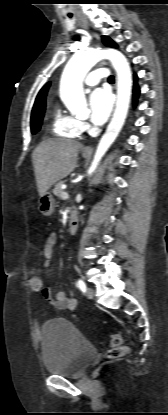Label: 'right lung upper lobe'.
<instances>
[{
    "mask_svg": "<svg viewBox=\"0 0 168 415\" xmlns=\"http://www.w3.org/2000/svg\"><path fill=\"white\" fill-rule=\"evenodd\" d=\"M49 86H50V82H48L41 89V91L39 92V94H38V96H37V98L35 100V103H34L32 112L45 107V98H46V94H47V91H48Z\"/></svg>",
    "mask_w": 168,
    "mask_h": 415,
    "instance_id": "right-lung-upper-lobe-1",
    "label": "right lung upper lobe"
}]
</instances>
